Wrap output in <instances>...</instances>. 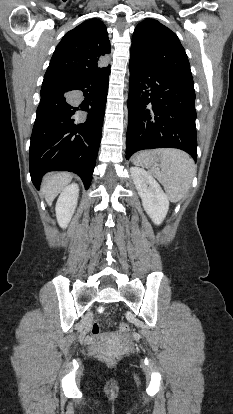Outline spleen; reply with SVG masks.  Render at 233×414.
Here are the masks:
<instances>
[{
	"label": "spleen",
	"instance_id": "1",
	"mask_svg": "<svg viewBox=\"0 0 233 414\" xmlns=\"http://www.w3.org/2000/svg\"><path fill=\"white\" fill-rule=\"evenodd\" d=\"M157 153L161 156L159 165L148 166L140 160L138 154L134 157L133 163L149 169L163 185L169 199L179 202L189 193L196 165L192 158L178 149H163Z\"/></svg>",
	"mask_w": 233,
	"mask_h": 414
}]
</instances>
